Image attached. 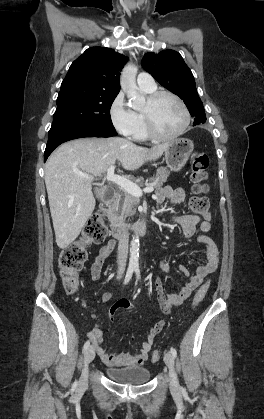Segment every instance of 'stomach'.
I'll return each mask as SVG.
<instances>
[{
  "instance_id": "stomach-1",
  "label": "stomach",
  "mask_w": 264,
  "mask_h": 419,
  "mask_svg": "<svg viewBox=\"0 0 264 419\" xmlns=\"http://www.w3.org/2000/svg\"><path fill=\"white\" fill-rule=\"evenodd\" d=\"M194 149V144L190 139L179 138L168 143L165 150V160L167 166L173 171H179L186 164L189 156Z\"/></svg>"
}]
</instances>
